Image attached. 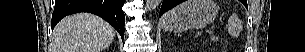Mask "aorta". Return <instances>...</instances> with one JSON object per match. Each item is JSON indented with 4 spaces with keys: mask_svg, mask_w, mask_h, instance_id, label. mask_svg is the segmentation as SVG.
<instances>
[{
    "mask_svg": "<svg viewBox=\"0 0 305 52\" xmlns=\"http://www.w3.org/2000/svg\"><path fill=\"white\" fill-rule=\"evenodd\" d=\"M161 3V0H146V8L148 11L156 9Z\"/></svg>",
    "mask_w": 305,
    "mask_h": 52,
    "instance_id": "1",
    "label": "aorta"
}]
</instances>
